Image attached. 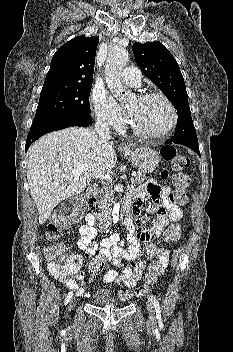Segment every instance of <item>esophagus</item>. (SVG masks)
Segmentation results:
<instances>
[{"mask_svg":"<svg viewBox=\"0 0 233 352\" xmlns=\"http://www.w3.org/2000/svg\"><path fill=\"white\" fill-rule=\"evenodd\" d=\"M122 147H123V148H126L127 146H126L125 144H122Z\"/></svg>","mask_w":233,"mask_h":352,"instance_id":"esophagus-1","label":"esophagus"}]
</instances>
